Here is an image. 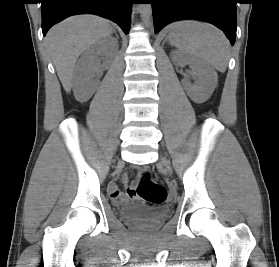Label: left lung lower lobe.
<instances>
[{
	"label": "left lung lower lobe",
	"instance_id": "left-lung-lower-lobe-1",
	"mask_svg": "<svg viewBox=\"0 0 279 267\" xmlns=\"http://www.w3.org/2000/svg\"><path fill=\"white\" fill-rule=\"evenodd\" d=\"M155 33L182 19H199L224 31L233 45L236 38V0H149Z\"/></svg>",
	"mask_w": 279,
	"mask_h": 267
}]
</instances>
